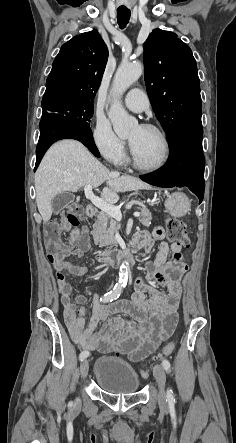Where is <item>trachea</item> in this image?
Masks as SVG:
<instances>
[{"label": "trachea", "instance_id": "1", "mask_svg": "<svg viewBox=\"0 0 236 443\" xmlns=\"http://www.w3.org/2000/svg\"><path fill=\"white\" fill-rule=\"evenodd\" d=\"M130 10L129 9H125V8H118L117 9V21L119 24V27L121 29H124L126 27V25L129 22L130 19Z\"/></svg>", "mask_w": 236, "mask_h": 443}]
</instances>
